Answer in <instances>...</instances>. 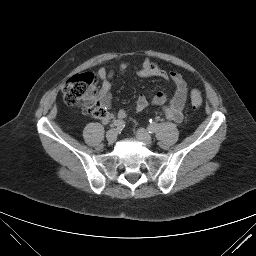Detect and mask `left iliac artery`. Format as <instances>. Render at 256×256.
<instances>
[{
	"mask_svg": "<svg viewBox=\"0 0 256 256\" xmlns=\"http://www.w3.org/2000/svg\"><path fill=\"white\" fill-rule=\"evenodd\" d=\"M157 128V123L156 122H151L150 125L148 126V131L149 133H154Z\"/></svg>",
	"mask_w": 256,
	"mask_h": 256,
	"instance_id": "obj_1",
	"label": "left iliac artery"
}]
</instances>
